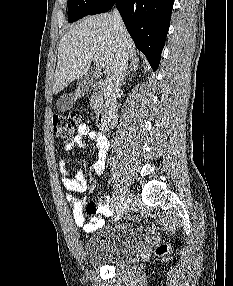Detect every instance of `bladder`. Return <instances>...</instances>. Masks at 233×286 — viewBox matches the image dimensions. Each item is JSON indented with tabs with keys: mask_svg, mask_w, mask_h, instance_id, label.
Returning a JSON list of instances; mask_svg holds the SVG:
<instances>
[{
	"mask_svg": "<svg viewBox=\"0 0 233 286\" xmlns=\"http://www.w3.org/2000/svg\"><path fill=\"white\" fill-rule=\"evenodd\" d=\"M142 240L143 230L133 223L101 230L85 243L84 260L94 266H120L137 253Z\"/></svg>",
	"mask_w": 233,
	"mask_h": 286,
	"instance_id": "1",
	"label": "bladder"
}]
</instances>
